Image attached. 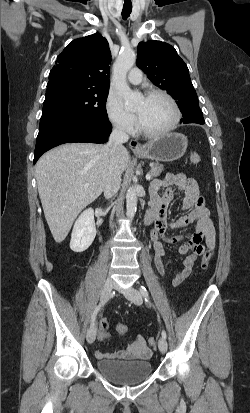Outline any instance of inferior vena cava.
Listing matches in <instances>:
<instances>
[{"label":"inferior vena cava","instance_id":"602c4592","mask_svg":"<svg viewBox=\"0 0 250 413\" xmlns=\"http://www.w3.org/2000/svg\"><path fill=\"white\" fill-rule=\"evenodd\" d=\"M129 139L128 134L121 126H115L106 148L108 156V172L104 185V195L107 199L112 198L119 190L121 184V173L115 168V159L118 152L123 148V143Z\"/></svg>","mask_w":250,"mask_h":413}]
</instances>
